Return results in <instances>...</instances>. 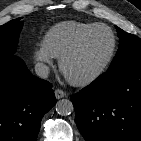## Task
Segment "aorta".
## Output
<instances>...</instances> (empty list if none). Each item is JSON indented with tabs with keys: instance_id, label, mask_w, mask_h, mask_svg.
<instances>
[{
	"instance_id": "1",
	"label": "aorta",
	"mask_w": 141,
	"mask_h": 141,
	"mask_svg": "<svg viewBox=\"0 0 141 141\" xmlns=\"http://www.w3.org/2000/svg\"><path fill=\"white\" fill-rule=\"evenodd\" d=\"M55 108L56 112L62 116L70 115L74 110L72 102L68 99H61L57 101Z\"/></svg>"
}]
</instances>
